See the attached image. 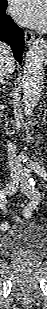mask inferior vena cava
<instances>
[{"label": "inferior vena cava", "mask_w": 47, "mask_h": 309, "mask_svg": "<svg viewBox=\"0 0 47 309\" xmlns=\"http://www.w3.org/2000/svg\"><path fill=\"white\" fill-rule=\"evenodd\" d=\"M14 57L10 50V47L5 44H0V76H4L6 78L9 77V74L13 72L14 70ZM9 156L14 160V149L12 147V144L9 145ZM14 167L16 170H19L22 172V167L18 163H14Z\"/></svg>", "instance_id": "obj_1"}]
</instances>
